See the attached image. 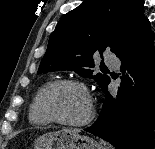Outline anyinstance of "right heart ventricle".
I'll list each match as a JSON object with an SVG mask.
<instances>
[{
    "instance_id": "right-heart-ventricle-1",
    "label": "right heart ventricle",
    "mask_w": 155,
    "mask_h": 149,
    "mask_svg": "<svg viewBox=\"0 0 155 149\" xmlns=\"http://www.w3.org/2000/svg\"><path fill=\"white\" fill-rule=\"evenodd\" d=\"M42 89H40L33 98L28 111L29 122L34 126H46L50 123L40 112L38 107L39 97Z\"/></svg>"
}]
</instances>
